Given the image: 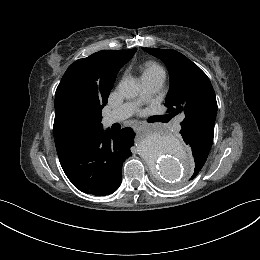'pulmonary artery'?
<instances>
[{"instance_id":"e3ab8cb5","label":"pulmonary artery","mask_w":260,"mask_h":260,"mask_svg":"<svg viewBox=\"0 0 260 260\" xmlns=\"http://www.w3.org/2000/svg\"><path fill=\"white\" fill-rule=\"evenodd\" d=\"M164 82V74L163 73H157L150 75L146 78L143 79V85H144V90L141 95V98L135 102H128L125 103L124 105L120 106L117 109L112 110L109 112L105 118L104 122L106 125H111L116 122H121L128 117H130L133 112L136 110L138 105L148 97H150L152 94L156 93L163 85ZM182 118H180L175 126L176 128H180V122Z\"/></svg>"}]
</instances>
